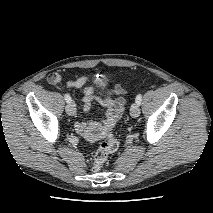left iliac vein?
Returning <instances> with one entry per match:
<instances>
[{
	"label": "left iliac vein",
	"mask_w": 213,
	"mask_h": 213,
	"mask_svg": "<svg viewBox=\"0 0 213 213\" xmlns=\"http://www.w3.org/2000/svg\"><path fill=\"white\" fill-rule=\"evenodd\" d=\"M130 115L133 117V118H136L140 115V107H139V104L137 103H133L130 107Z\"/></svg>",
	"instance_id": "obj_1"
}]
</instances>
